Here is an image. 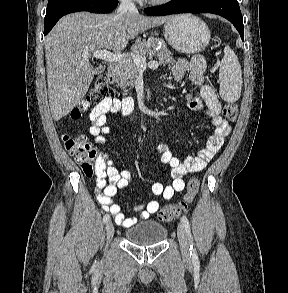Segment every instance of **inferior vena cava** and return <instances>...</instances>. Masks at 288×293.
Here are the masks:
<instances>
[{
	"instance_id": "602c4592",
	"label": "inferior vena cava",
	"mask_w": 288,
	"mask_h": 293,
	"mask_svg": "<svg viewBox=\"0 0 288 293\" xmlns=\"http://www.w3.org/2000/svg\"><path fill=\"white\" fill-rule=\"evenodd\" d=\"M127 12L138 13V10L132 0H121L117 13L122 14Z\"/></svg>"
}]
</instances>
